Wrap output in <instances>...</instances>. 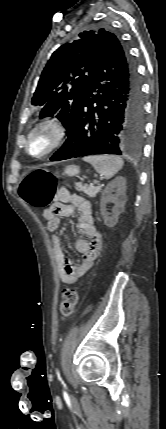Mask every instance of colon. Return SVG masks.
Masks as SVG:
<instances>
[{
	"label": "colon",
	"instance_id": "obj_1",
	"mask_svg": "<svg viewBox=\"0 0 166 429\" xmlns=\"http://www.w3.org/2000/svg\"><path fill=\"white\" fill-rule=\"evenodd\" d=\"M20 196L30 205L43 208L60 195L73 199L78 204H86L81 198L73 197L67 189L56 190L55 175L45 169H33L25 175L20 187ZM81 290L78 288H65L62 292L60 312L63 316H70L79 302Z\"/></svg>",
	"mask_w": 166,
	"mask_h": 429
}]
</instances>
